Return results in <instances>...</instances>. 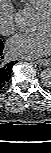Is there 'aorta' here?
<instances>
[{"mask_svg": "<svg viewBox=\"0 0 51 153\" xmlns=\"http://www.w3.org/2000/svg\"><path fill=\"white\" fill-rule=\"evenodd\" d=\"M38 19V14L31 8H24L17 11L15 23L20 30L29 31L33 28ZM40 81L45 87L51 86V69L46 68L40 73Z\"/></svg>", "mask_w": 51, "mask_h": 153, "instance_id": "762f6f07", "label": "aorta"}]
</instances>
